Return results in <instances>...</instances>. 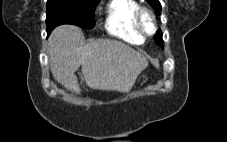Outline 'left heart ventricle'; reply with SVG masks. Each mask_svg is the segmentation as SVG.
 I'll return each instance as SVG.
<instances>
[{
  "instance_id": "left-heart-ventricle-1",
  "label": "left heart ventricle",
  "mask_w": 227,
  "mask_h": 142,
  "mask_svg": "<svg viewBox=\"0 0 227 142\" xmlns=\"http://www.w3.org/2000/svg\"><path fill=\"white\" fill-rule=\"evenodd\" d=\"M145 22H146V24H147V29L150 31V30L152 29V27H151V25H150V23H149L148 18H145Z\"/></svg>"
}]
</instances>
